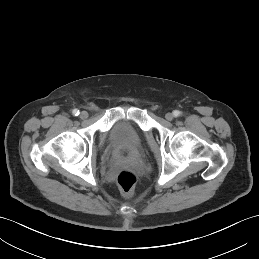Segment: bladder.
<instances>
[{"instance_id": "bladder-1", "label": "bladder", "mask_w": 259, "mask_h": 259, "mask_svg": "<svg viewBox=\"0 0 259 259\" xmlns=\"http://www.w3.org/2000/svg\"><path fill=\"white\" fill-rule=\"evenodd\" d=\"M108 146L118 157H132L141 149V133L128 120H119L109 130Z\"/></svg>"}]
</instances>
